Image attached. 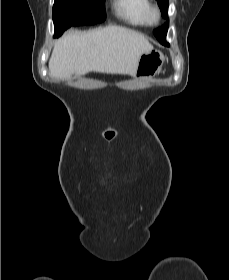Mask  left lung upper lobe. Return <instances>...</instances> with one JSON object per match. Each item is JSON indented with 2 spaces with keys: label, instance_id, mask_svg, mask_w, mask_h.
<instances>
[{
  "label": "left lung upper lobe",
  "instance_id": "5c2ea615",
  "mask_svg": "<svg viewBox=\"0 0 229 280\" xmlns=\"http://www.w3.org/2000/svg\"><path fill=\"white\" fill-rule=\"evenodd\" d=\"M157 1H158L159 6H160L162 16L164 18H167V20H169L168 19V0H157ZM168 25L169 24L167 22L163 26H161L158 29L153 31V33L156 36V38L158 39V41L161 44H164V45H168V43L165 40L167 31H168Z\"/></svg>",
  "mask_w": 229,
  "mask_h": 280
}]
</instances>
